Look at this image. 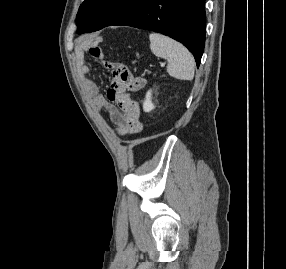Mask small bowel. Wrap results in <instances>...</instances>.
<instances>
[{"instance_id": "small-bowel-1", "label": "small bowel", "mask_w": 286, "mask_h": 269, "mask_svg": "<svg viewBox=\"0 0 286 269\" xmlns=\"http://www.w3.org/2000/svg\"><path fill=\"white\" fill-rule=\"evenodd\" d=\"M88 50L90 55L100 61L106 69L114 70L116 63L104 60V53L100 46L94 48V43L88 46L81 45L76 54L77 69L82 77L84 89L88 95V99L96 114H100L105 109L110 120L117 126L113 133L117 136H125L127 134H136L141 131L142 123L140 119V110H124L127 95H122L111 85L107 91V98L103 97L98 84L88 77L90 68L85 62L84 53ZM134 78H142L135 76ZM145 83H142V87Z\"/></svg>"}]
</instances>
